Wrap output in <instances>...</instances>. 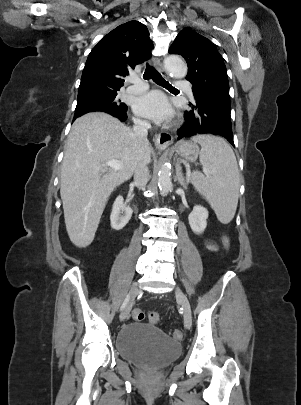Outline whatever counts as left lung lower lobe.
Returning <instances> with one entry per match:
<instances>
[{
    "label": "left lung lower lobe",
    "mask_w": 301,
    "mask_h": 405,
    "mask_svg": "<svg viewBox=\"0 0 301 405\" xmlns=\"http://www.w3.org/2000/svg\"><path fill=\"white\" fill-rule=\"evenodd\" d=\"M191 111L185 112L186 123L177 134V140L200 134H213L227 139L233 146L230 107L208 100H196Z\"/></svg>",
    "instance_id": "left-lung-lower-lobe-1"
}]
</instances>
